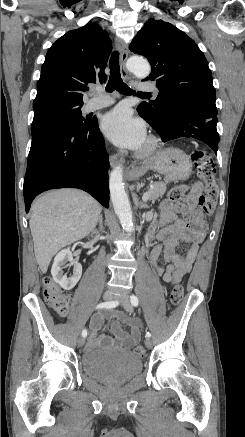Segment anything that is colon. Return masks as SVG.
<instances>
[{
    "label": "colon",
    "mask_w": 245,
    "mask_h": 437,
    "mask_svg": "<svg viewBox=\"0 0 245 437\" xmlns=\"http://www.w3.org/2000/svg\"><path fill=\"white\" fill-rule=\"evenodd\" d=\"M191 159L194 162L199 177L205 184L204 194L199 197L197 206L204 214L211 215L214 212L218 197L212 158L207 152L197 150L191 154ZM188 191L189 187L186 185L175 187L170 193V199L175 203H183ZM44 297L58 316L63 317L67 314L70 300L69 296L65 294L50 277L44 279ZM182 297V287L175 286L170 293V303L177 305L180 303ZM134 352L139 357H144L146 353L142 346H136Z\"/></svg>",
    "instance_id": "colon-1"
}]
</instances>
